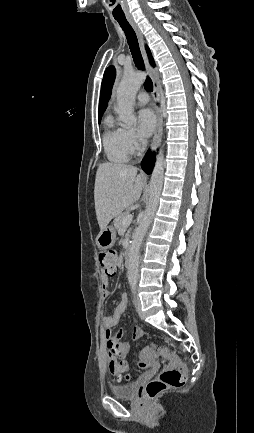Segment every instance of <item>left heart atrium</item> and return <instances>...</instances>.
I'll return each instance as SVG.
<instances>
[{"instance_id":"left-heart-atrium-1","label":"left heart atrium","mask_w":254,"mask_h":433,"mask_svg":"<svg viewBox=\"0 0 254 433\" xmlns=\"http://www.w3.org/2000/svg\"><path fill=\"white\" fill-rule=\"evenodd\" d=\"M156 125V115L149 109L144 108L138 113V129L143 136H150Z\"/></svg>"}]
</instances>
